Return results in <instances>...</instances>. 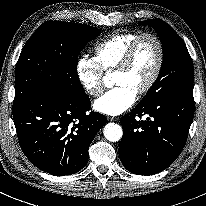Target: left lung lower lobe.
Segmentation results:
<instances>
[{"instance_id": "obj_1", "label": "left lung lower lobe", "mask_w": 206, "mask_h": 206, "mask_svg": "<svg viewBox=\"0 0 206 206\" xmlns=\"http://www.w3.org/2000/svg\"><path fill=\"white\" fill-rule=\"evenodd\" d=\"M143 115L147 118L141 120ZM193 116L194 99L189 92L138 104L121 117L119 156L123 166L139 175L155 174L169 167L185 145Z\"/></svg>"}]
</instances>
